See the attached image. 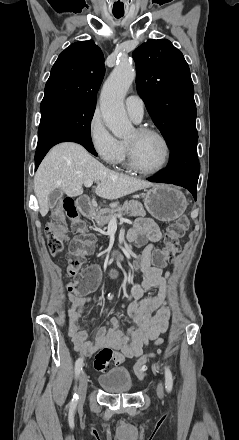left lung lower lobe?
Segmentation results:
<instances>
[{"instance_id":"left-lung-lower-lobe-1","label":"left lung lower lobe","mask_w":239,"mask_h":440,"mask_svg":"<svg viewBox=\"0 0 239 440\" xmlns=\"http://www.w3.org/2000/svg\"><path fill=\"white\" fill-rule=\"evenodd\" d=\"M198 134L177 139L170 147L171 154L167 169L148 178L151 182L170 183L187 188L196 200L199 162L197 158Z\"/></svg>"}]
</instances>
